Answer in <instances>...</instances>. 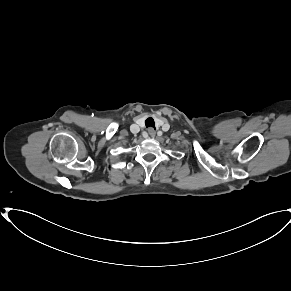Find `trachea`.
<instances>
[{
  "instance_id": "obj_1",
  "label": "trachea",
  "mask_w": 291,
  "mask_h": 291,
  "mask_svg": "<svg viewBox=\"0 0 291 291\" xmlns=\"http://www.w3.org/2000/svg\"><path fill=\"white\" fill-rule=\"evenodd\" d=\"M145 125H146V127H153V128H155L154 119L152 117L147 118L145 120Z\"/></svg>"
}]
</instances>
